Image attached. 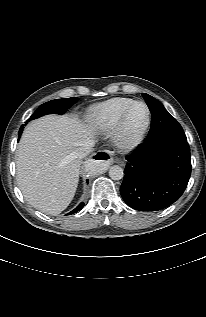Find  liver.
I'll list each match as a JSON object with an SVG mask.
<instances>
[{
	"label": "liver",
	"instance_id": "liver-1",
	"mask_svg": "<svg viewBox=\"0 0 206 317\" xmlns=\"http://www.w3.org/2000/svg\"><path fill=\"white\" fill-rule=\"evenodd\" d=\"M95 135L92 124L68 116L46 115L27 125L16 168L18 186L29 204L50 215L69 206L79 181L77 151Z\"/></svg>",
	"mask_w": 206,
	"mask_h": 317
}]
</instances>
